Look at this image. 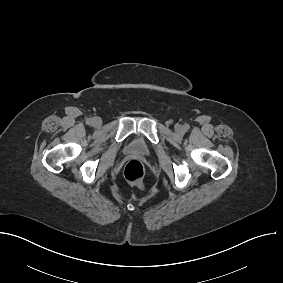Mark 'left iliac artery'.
Segmentation results:
<instances>
[{
  "mask_svg": "<svg viewBox=\"0 0 283 283\" xmlns=\"http://www.w3.org/2000/svg\"><path fill=\"white\" fill-rule=\"evenodd\" d=\"M184 128H185V130L189 129V125H188V124H185V125H184Z\"/></svg>",
  "mask_w": 283,
  "mask_h": 283,
  "instance_id": "44dca946",
  "label": "left iliac artery"
}]
</instances>
